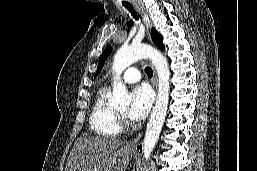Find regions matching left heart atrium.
Listing matches in <instances>:
<instances>
[{
	"mask_svg": "<svg viewBox=\"0 0 257 171\" xmlns=\"http://www.w3.org/2000/svg\"><path fill=\"white\" fill-rule=\"evenodd\" d=\"M153 101L151 90L147 86L136 87L131 94V104L127 115L133 121H139L146 117Z\"/></svg>",
	"mask_w": 257,
	"mask_h": 171,
	"instance_id": "1",
	"label": "left heart atrium"
}]
</instances>
